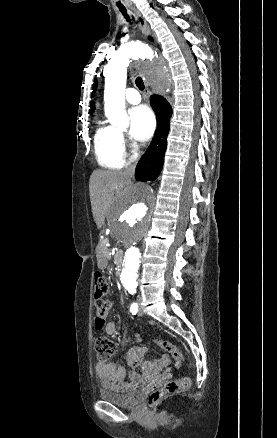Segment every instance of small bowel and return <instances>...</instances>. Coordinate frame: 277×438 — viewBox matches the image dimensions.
Wrapping results in <instances>:
<instances>
[{"mask_svg": "<svg viewBox=\"0 0 277 438\" xmlns=\"http://www.w3.org/2000/svg\"><path fill=\"white\" fill-rule=\"evenodd\" d=\"M104 329L109 335L117 333V326L113 321L107 322ZM146 352L147 349L142 346L132 348L127 355V364L134 368L140 363L142 375L158 369L163 370L167 377L172 376L171 360L167 355H162L156 361H142ZM95 370L100 384L115 391H127L141 380V374L136 370L133 369L127 375L124 367L113 361H99L95 365ZM126 376L128 381L125 380Z\"/></svg>", "mask_w": 277, "mask_h": 438, "instance_id": "small-bowel-1", "label": "small bowel"}]
</instances>
